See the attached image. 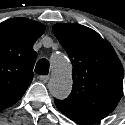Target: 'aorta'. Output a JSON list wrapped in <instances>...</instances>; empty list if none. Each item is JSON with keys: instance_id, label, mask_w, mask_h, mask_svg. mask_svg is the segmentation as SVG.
<instances>
[{"instance_id": "obj_1", "label": "aorta", "mask_w": 125, "mask_h": 125, "mask_svg": "<svg viewBox=\"0 0 125 125\" xmlns=\"http://www.w3.org/2000/svg\"><path fill=\"white\" fill-rule=\"evenodd\" d=\"M52 76L48 82L50 93L58 99L66 98L72 89V66L67 57L53 54L51 57Z\"/></svg>"}]
</instances>
